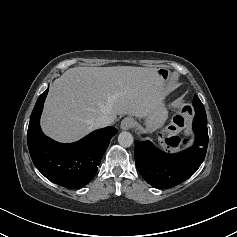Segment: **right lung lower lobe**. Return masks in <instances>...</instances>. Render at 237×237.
Here are the masks:
<instances>
[{
	"instance_id": "obj_1",
	"label": "right lung lower lobe",
	"mask_w": 237,
	"mask_h": 237,
	"mask_svg": "<svg viewBox=\"0 0 237 237\" xmlns=\"http://www.w3.org/2000/svg\"><path fill=\"white\" fill-rule=\"evenodd\" d=\"M47 93L48 89L39 96L30 117L27 141L32 161L53 183L66 188H81L96 174L117 130L113 127L99 129L72 144H61L48 138L39 123Z\"/></svg>"
}]
</instances>
